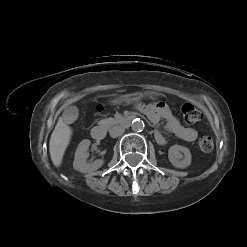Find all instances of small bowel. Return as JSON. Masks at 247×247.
<instances>
[{
	"mask_svg": "<svg viewBox=\"0 0 247 247\" xmlns=\"http://www.w3.org/2000/svg\"><path fill=\"white\" fill-rule=\"evenodd\" d=\"M138 109L143 112L153 124L165 120L166 130L184 141L193 142L198 137L197 131L192 127L183 126L171 109L165 104H140L138 105ZM95 110L97 113L102 114L105 112L106 107L104 104L99 103L96 105ZM155 139L160 145L166 143V139L160 131L155 132Z\"/></svg>",
	"mask_w": 247,
	"mask_h": 247,
	"instance_id": "obj_1",
	"label": "small bowel"
}]
</instances>
